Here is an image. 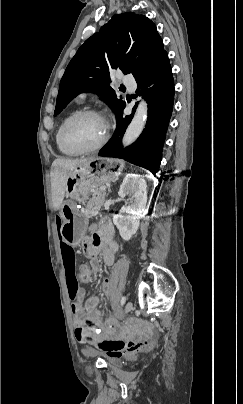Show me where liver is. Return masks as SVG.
<instances>
[{"label":"liver","mask_w":243,"mask_h":404,"mask_svg":"<svg viewBox=\"0 0 243 404\" xmlns=\"http://www.w3.org/2000/svg\"><path fill=\"white\" fill-rule=\"evenodd\" d=\"M93 158H81V160H69V158H58L54 160L51 166L50 180H51V194L52 204L54 210H59L62 206V202L65 196L66 178L69 170L82 166L91 162Z\"/></svg>","instance_id":"6515ba94"}]
</instances>
